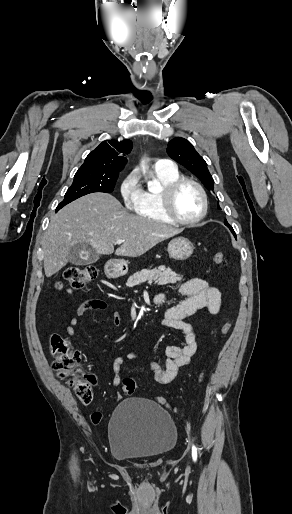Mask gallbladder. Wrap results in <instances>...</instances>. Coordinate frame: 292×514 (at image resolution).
<instances>
[{
  "label": "gallbladder",
  "mask_w": 292,
  "mask_h": 514,
  "mask_svg": "<svg viewBox=\"0 0 292 514\" xmlns=\"http://www.w3.org/2000/svg\"><path fill=\"white\" fill-rule=\"evenodd\" d=\"M68 260L75 266H88V264H94L98 260V254L90 244L79 242V244L71 246Z\"/></svg>",
  "instance_id": "obj_1"
}]
</instances>
